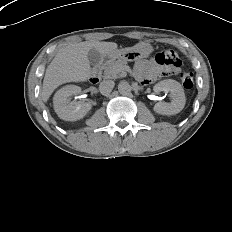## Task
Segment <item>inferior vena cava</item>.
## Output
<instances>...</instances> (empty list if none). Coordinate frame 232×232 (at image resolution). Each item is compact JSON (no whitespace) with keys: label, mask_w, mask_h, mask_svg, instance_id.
Wrapping results in <instances>:
<instances>
[{"label":"inferior vena cava","mask_w":232,"mask_h":232,"mask_svg":"<svg viewBox=\"0 0 232 232\" xmlns=\"http://www.w3.org/2000/svg\"><path fill=\"white\" fill-rule=\"evenodd\" d=\"M115 83L112 80L102 81L99 85V91L103 95H108L114 88Z\"/></svg>","instance_id":"602c4592"}]
</instances>
